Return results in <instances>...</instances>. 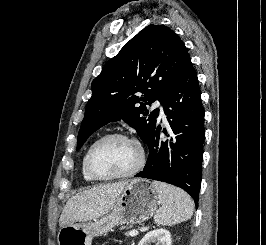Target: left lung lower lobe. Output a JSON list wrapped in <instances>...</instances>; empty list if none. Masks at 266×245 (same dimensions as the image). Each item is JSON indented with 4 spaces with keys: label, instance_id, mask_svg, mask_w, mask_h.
Returning a JSON list of instances; mask_svg holds the SVG:
<instances>
[{
    "label": "left lung lower lobe",
    "instance_id": "1",
    "mask_svg": "<svg viewBox=\"0 0 266 245\" xmlns=\"http://www.w3.org/2000/svg\"><path fill=\"white\" fill-rule=\"evenodd\" d=\"M162 104L170 125V139L159 138L161 127L156 123L147 143V163L135 176L178 186L198 205L205 136L204 109L197 73L190 57L168 88Z\"/></svg>",
    "mask_w": 266,
    "mask_h": 245
}]
</instances>
